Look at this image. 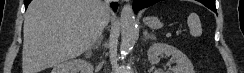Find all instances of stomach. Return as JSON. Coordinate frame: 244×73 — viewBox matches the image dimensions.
<instances>
[{"instance_id":"stomach-1","label":"stomach","mask_w":244,"mask_h":73,"mask_svg":"<svg viewBox=\"0 0 244 73\" xmlns=\"http://www.w3.org/2000/svg\"><path fill=\"white\" fill-rule=\"evenodd\" d=\"M144 23L152 29H160L163 27L162 22L157 17H146Z\"/></svg>"}]
</instances>
